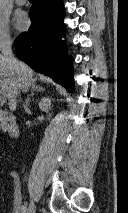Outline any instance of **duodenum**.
<instances>
[{
  "label": "duodenum",
  "instance_id": "1",
  "mask_svg": "<svg viewBox=\"0 0 128 213\" xmlns=\"http://www.w3.org/2000/svg\"><path fill=\"white\" fill-rule=\"evenodd\" d=\"M0 124L3 126L10 137L16 138L19 136L20 129L16 118L12 114L0 110Z\"/></svg>",
  "mask_w": 128,
  "mask_h": 213
}]
</instances>
